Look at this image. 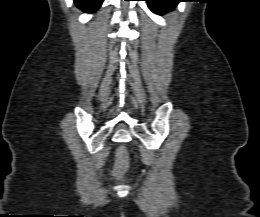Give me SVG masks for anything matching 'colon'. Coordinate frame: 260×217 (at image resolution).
Returning <instances> with one entry per match:
<instances>
[{"mask_svg":"<svg viewBox=\"0 0 260 217\" xmlns=\"http://www.w3.org/2000/svg\"><path fill=\"white\" fill-rule=\"evenodd\" d=\"M117 164L113 170V178L120 180L128 172V151L124 145H119L116 150Z\"/></svg>","mask_w":260,"mask_h":217,"instance_id":"obj_1","label":"colon"}]
</instances>
